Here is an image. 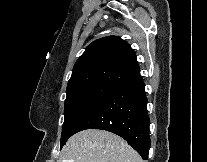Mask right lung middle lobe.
Masks as SVG:
<instances>
[{
  "instance_id": "1",
  "label": "right lung middle lobe",
  "mask_w": 207,
  "mask_h": 162,
  "mask_svg": "<svg viewBox=\"0 0 207 162\" xmlns=\"http://www.w3.org/2000/svg\"><path fill=\"white\" fill-rule=\"evenodd\" d=\"M114 86L91 85L67 91L61 148L81 121L108 95Z\"/></svg>"
}]
</instances>
